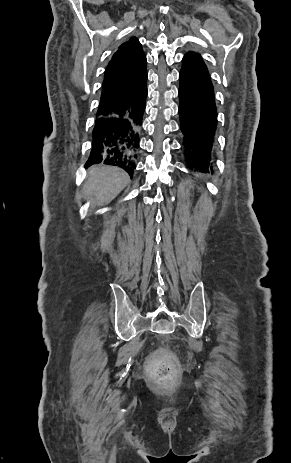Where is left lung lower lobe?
<instances>
[{
    "label": "left lung lower lobe",
    "instance_id": "0a47b994",
    "mask_svg": "<svg viewBox=\"0 0 291 463\" xmlns=\"http://www.w3.org/2000/svg\"><path fill=\"white\" fill-rule=\"evenodd\" d=\"M179 115L188 168L212 169L217 129V109L210 76L182 68L179 74Z\"/></svg>",
    "mask_w": 291,
    "mask_h": 463
}]
</instances>
